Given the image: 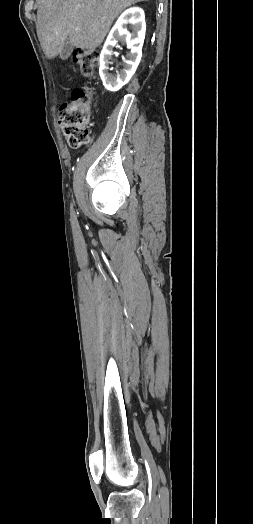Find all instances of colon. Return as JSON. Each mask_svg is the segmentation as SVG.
Listing matches in <instances>:
<instances>
[{"instance_id":"obj_1","label":"colon","mask_w":253,"mask_h":524,"mask_svg":"<svg viewBox=\"0 0 253 524\" xmlns=\"http://www.w3.org/2000/svg\"><path fill=\"white\" fill-rule=\"evenodd\" d=\"M99 57L100 52L97 49H79L74 54V60L85 77L94 75ZM91 96L92 92L88 87L76 88L60 107L58 124L72 148L85 146L90 142Z\"/></svg>"}]
</instances>
